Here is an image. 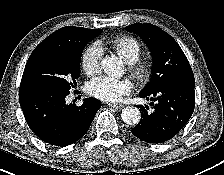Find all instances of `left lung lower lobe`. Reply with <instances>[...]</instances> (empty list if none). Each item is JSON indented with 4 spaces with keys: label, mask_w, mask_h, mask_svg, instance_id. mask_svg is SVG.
<instances>
[{
    "label": "left lung lower lobe",
    "mask_w": 224,
    "mask_h": 175,
    "mask_svg": "<svg viewBox=\"0 0 224 175\" xmlns=\"http://www.w3.org/2000/svg\"><path fill=\"white\" fill-rule=\"evenodd\" d=\"M195 82H171L150 93H140L141 98L152 101L148 106L138 105L140 122L132 134L147 143H164L172 139L189 121L195 106Z\"/></svg>",
    "instance_id": "obj_1"
}]
</instances>
